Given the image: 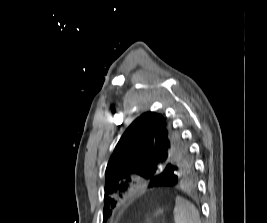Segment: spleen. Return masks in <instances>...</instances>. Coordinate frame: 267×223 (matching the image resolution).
Instances as JSON below:
<instances>
[{
  "label": "spleen",
  "instance_id": "1",
  "mask_svg": "<svg viewBox=\"0 0 267 223\" xmlns=\"http://www.w3.org/2000/svg\"><path fill=\"white\" fill-rule=\"evenodd\" d=\"M175 223H201L196 207L182 197H176L174 208Z\"/></svg>",
  "mask_w": 267,
  "mask_h": 223
}]
</instances>
